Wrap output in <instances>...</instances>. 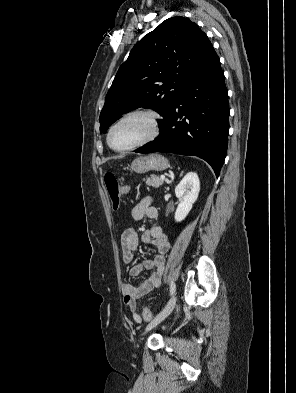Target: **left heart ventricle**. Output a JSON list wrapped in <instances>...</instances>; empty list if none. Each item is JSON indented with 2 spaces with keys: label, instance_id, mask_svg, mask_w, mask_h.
<instances>
[{
  "label": "left heart ventricle",
  "instance_id": "obj_1",
  "mask_svg": "<svg viewBox=\"0 0 296 393\" xmlns=\"http://www.w3.org/2000/svg\"><path fill=\"white\" fill-rule=\"evenodd\" d=\"M151 126L142 116H134L122 121L112 131L111 144L122 149L131 146L149 135Z\"/></svg>",
  "mask_w": 296,
  "mask_h": 393
}]
</instances>
